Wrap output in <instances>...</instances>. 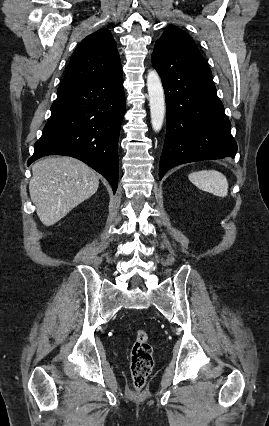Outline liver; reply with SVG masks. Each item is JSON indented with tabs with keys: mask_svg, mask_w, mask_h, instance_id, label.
Masks as SVG:
<instances>
[{
	"mask_svg": "<svg viewBox=\"0 0 269 426\" xmlns=\"http://www.w3.org/2000/svg\"><path fill=\"white\" fill-rule=\"evenodd\" d=\"M97 173L67 156L48 157L32 166L29 192L41 222L51 226L98 189Z\"/></svg>",
	"mask_w": 269,
	"mask_h": 426,
	"instance_id": "6515ba94",
	"label": "liver"
}]
</instances>
